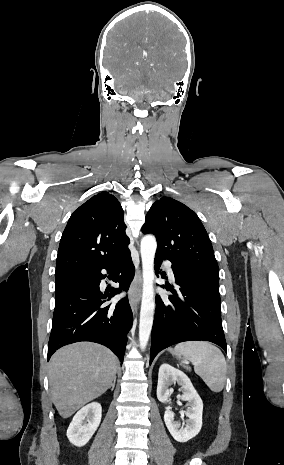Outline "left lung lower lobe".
Masks as SVG:
<instances>
[{
	"label": "left lung lower lobe",
	"instance_id": "0a47b994",
	"mask_svg": "<svg viewBox=\"0 0 284 465\" xmlns=\"http://www.w3.org/2000/svg\"><path fill=\"white\" fill-rule=\"evenodd\" d=\"M164 259L161 255L155 256L157 277ZM172 270L175 289L172 286L161 287H166L174 296L166 300L160 296L156 298L150 364L161 350L183 341H210L227 352L221 321L219 282L174 264Z\"/></svg>",
	"mask_w": 284,
	"mask_h": 465
}]
</instances>
